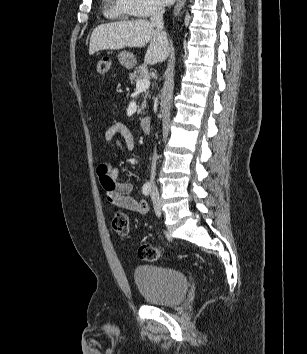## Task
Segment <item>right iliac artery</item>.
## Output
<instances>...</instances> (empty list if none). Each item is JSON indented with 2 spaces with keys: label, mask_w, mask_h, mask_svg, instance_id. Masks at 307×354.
I'll list each match as a JSON object with an SVG mask.
<instances>
[{
  "label": "right iliac artery",
  "mask_w": 307,
  "mask_h": 354,
  "mask_svg": "<svg viewBox=\"0 0 307 354\" xmlns=\"http://www.w3.org/2000/svg\"><path fill=\"white\" fill-rule=\"evenodd\" d=\"M150 191H151V186H150V184H148V183L144 184L143 187H142V193H143L145 196H147V195H149Z\"/></svg>",
  "instance_id": "right-iliac-artery-1"
}]
</instances>
